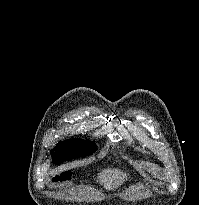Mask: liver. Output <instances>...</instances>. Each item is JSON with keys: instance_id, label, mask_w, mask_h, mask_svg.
Instances as JSON below:
<instances>
[{"instance_id": "liver-1", "label": "liver", "mask_w": 199, "mask_h": 205, "mask_svg": "<svg viewBox=\"0 0 199 205\" xmlns=\"http://www.w3.org/2000/svg\"><path fill=\"white\" fill-rule=\"evenodd\" d=\"M127 178L126 173L119 169H107L99 175L101 184L108 190L117 187Z\"/></svg>"}]
</instances>
